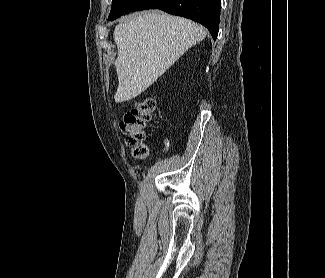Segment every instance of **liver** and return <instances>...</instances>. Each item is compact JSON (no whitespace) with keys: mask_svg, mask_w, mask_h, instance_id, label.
Returning a JSON list of instances; mask_svg holds the SVG:
<instances>
[{"mask_svg":"<svg viewBox=\"0 0 325 278\" xmlns=\"http://www.w3.org/2000/svg\"><path fill=\"white\" fill-rule=\"evenodd\" d=\"M206 34L202 26L189 19L158 11L126 18L113 33L118 48L115 101L121 103L140 95Z\"/></svg>","mask_w":325,"mask_h":278,"instance_id":"1","label":"liver"}]
</instances>
